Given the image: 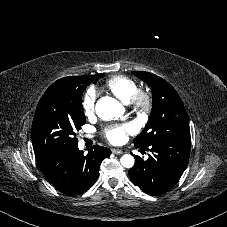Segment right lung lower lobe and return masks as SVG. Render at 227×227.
Returning a JSON list of instances; mask_svg holds the SVG:
<instances>
[{"label": "right lung lower lobe", "mask_w": 227, "mask_h": 227, "mask_svg": "<svg viewBox=\"0 0 227 227\" xmlns=\"http://www.w3.org/2000/svg\"><path fill=\"white\" fill-rule=\"evenodd\" d=\"M110 154V149L95 145L84 156L75 144L35 156L42 173L56 189L66 195H79L95 183L102 161Z\"/></svg>", "instance_id": "1"}]
</instances>
